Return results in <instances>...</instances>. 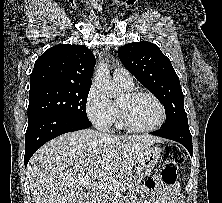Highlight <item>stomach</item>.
Here are the masks:
<instances>
[{"label": "stomach", "mask_w": 222, "mask_h": 203, "mask_svg": "<svg viewBox=\"0 0 222 203\" xmlns=\"http://www.w3.org/2000/svg\"><path fill=\"white\" fill-rule=\"evenodd\" d=\"M161 154L162 149L159 146L150 147L144 152L142 159L135 167L137 181H141L143 177L151 174L153 168L160 159Z\"/></svg>", "instance_id": "obj_1"}]
</instances>
